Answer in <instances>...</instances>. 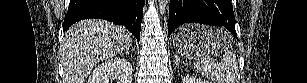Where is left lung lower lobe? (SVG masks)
<instances>
[{
    "instance_id": "left-lung-lower-lobe-1",
    "label": "left lung lower lobe",
    "mask_w": 307,
    "mask_h": 83,
    "mask_svg": "<svg viewBox=\"0 0 307 83\" xmlns=\"http://www.w3.org/2000/svg\"><path fill=\"white\" fill-rule=\"evenodd\" d=\"M187 22L222 25L236 36L231 0H170L168 35Z\"/></svg>"
}]
</instances>
